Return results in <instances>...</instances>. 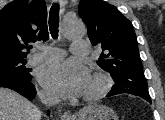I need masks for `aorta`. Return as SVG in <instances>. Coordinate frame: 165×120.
Returning <instances> with one entry per match:
<instances>
[{"instance_id": "762f6f07", "label": "aorta", "mask_w": 165, "mask_h": 120, "mask_svg": "<svg viewBox=\"0 0 165 120\" xmlns=\"http://www.w3.org/2000/svg\"><path fill=\"white\" fill-rule=\"evenodd\" d=\"M62 33L69 39L80 38L85 34V25L78 18L66 19L62 24Z\"/></svg>"}]
</instances>
